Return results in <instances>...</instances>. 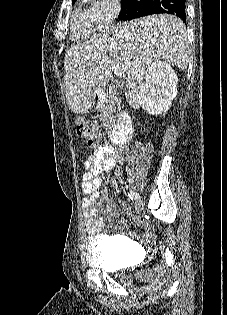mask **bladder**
Wrapping results in <instances>:
<instances>
[{"label": "bladder", "instance_id": "bladder-1", "mask_svg": "<svg viewBox=\"0 0 227 315\" xmlns=\"http://www.w3.org/2000/svg\"><path fill=\"white\" fill-rule=\"evenodd\" d=\"M132 242L117 236L96 235L87 243L86 261L101 270H118L130 267L129 249Z\"/></svg>", "mask_w": 227, "mask_h": 315}]
</instances>
